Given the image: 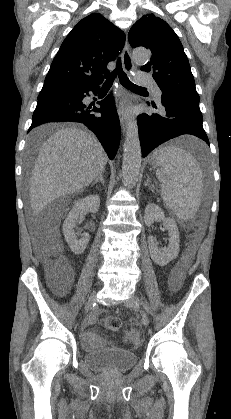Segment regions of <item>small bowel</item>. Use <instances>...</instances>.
Instances as JSON below:
<instances>
[{"instance_id": "1", "label": "small bowel", "mask_w": 231, "mask_h": 419, "mask_svg": "<svg viewBox=\"0 0 231 419\" xmlns=\"http://www.w3.org/2000/svg\"><path fill=\"white\" fill-rule=\"evenodd\" d=\"M70 279L68 280V282ZM175 287V286H174ZM100 315L99 311H94L91 313L85 323L83 328V346L87 350H93L95 349L99 344L105 342V339L101 337L96 331L88 329V327L94 325Z\"/></svg>"}]
</instances>
